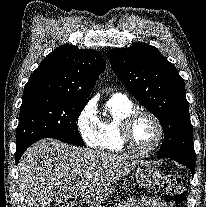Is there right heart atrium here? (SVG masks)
<instances>
[{"label":"right heart atrium","mask_w":206,"mask_h":207,"mask_svg":"<svg viewBox=\"0 0 206 207\" xmlns=\"http://www.w3.org/2000/svg\"><path fill=\"white\" fill-rule=\"evenodd\" d=\"M76 125L84 143L91 148H97L99 146V120L92 102H88L80 110Z\"/></svg>","instance_id":"right-heart-atrium-1"}]
</instances>
